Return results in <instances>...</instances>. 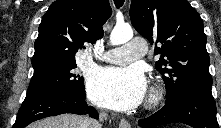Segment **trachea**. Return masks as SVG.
<instances>
[{
	"label": "trachea",
	"mask_w": 221,
	"mask_h": 128,
	"mask_svg": "<svg viewBox=\"0 0 221 128\" xmlns=\"http://www.w3.org/2000/svg\"><path fill=\"white\" fill-rule=\"evenodd\" d=\"M124 2H125V0H114L115 6H116L117 8L122 7L123 4H124Z\"/></svg>",
	"instance_id": "3493384b"
}]
</instances>
